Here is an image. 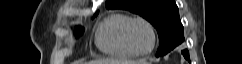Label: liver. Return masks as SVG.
<instances>
[{
  "label": "liver",
  "instance_id": "obj_1",
  "mask_svg": "<svg viewBox=\"0 0 242 64\" xmlns=\"http://www.w3.org/2000/svg\"><path fill=\"white\" fill-rule=\"evenodd\" d=\"M141 62V61H139ZM138 61H125V60H112V59H99L91 61L88 64H137Z\"/></svg>",
  "mask_w": 242,
  "mask_h": 64
}]
</instances>
